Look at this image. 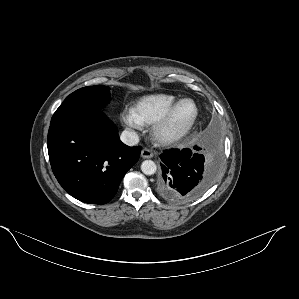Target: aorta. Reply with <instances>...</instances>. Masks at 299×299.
Segmentation results:
<instances>
[{"label": "aorta", "instance_id": "aorta-1", "mask_svg": "<svg viewBox=\"0 0 299 299\" xmlns=\"http://www.w3.org/2000/svg\"><path fill=\"white\" fill-rule=\"evenodd\" d=\"M157 170V166L154 161L152 160H145L141 164V171L145 175H153Z\"/></svg>", "mask_w": 299, "mask_h": 299}]
</instances>
